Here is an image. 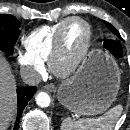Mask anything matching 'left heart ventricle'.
<instances>
[{"label": "left heart ventricle", "instance_id": "b2bd125f", "mask_svg": "<svg viewBox=\"0 0 130 130\" xmlns=\"http://www.w3.org/2000/svg\"><path fill=\"white\" fill-rule=\"evenodd\" d=\"M87 38L84 24L74 21L67 27L64 37V52L60 60L61 66H67L74 61L82 50Z\"/></svg>", "mask_w": 130, "mask_h": 130}]
</instances>
